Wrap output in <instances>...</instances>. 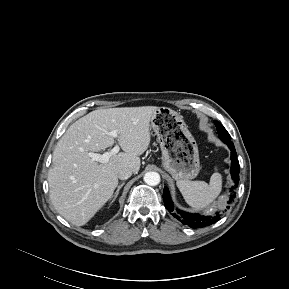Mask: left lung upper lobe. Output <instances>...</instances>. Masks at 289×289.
Wrapping results in <instances>:
<instances>
[{
  "label": "left lung upper lobe",
  "mask_w": 289,
  "mask_h": 289,
  "mask_svg": "<svg viewBox=\"0 0 289 289\" xmlns=\"http://www.w3.org/2000/svg\"><path fill=\"white\" fill-rule=\"evenodd\" d=\"M215 126L217 128V132L219 137L224 140V139H231L229 133L227 132V130L224 128V126L218 122V121H214Z\"/></svg>",
  "instance_id": "obj_1"
}]
</instances>
